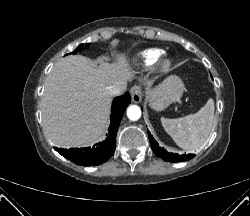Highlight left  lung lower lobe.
Listing matches in <instances>:
<instances>
[{
  "mask_svg": "<svg viewBox=\"0 0 250 216\" xmlns=\"http://www.w3.org/2000/svg\"><path fill=\"white\" fill-rule=\"evenodd\" d=\"M149 141L151 144V148L153 152L156 154L157 157H160L168 162H181L186 161L191 158H193L194 154H188V155H179L167 152L164 148L159 147L158 143L154 140L153 136L148 131Z\"/></svg>",
  "mask_w": 250,
  "mask_h": 216,
  "instance_id": "left-lung-lower-lobe-1",
  "label": "left lung lower lobe"
}]
</instances>
